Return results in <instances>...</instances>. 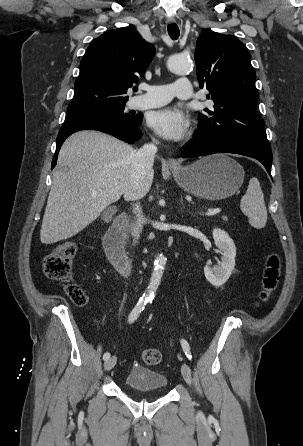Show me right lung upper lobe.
<instances>
[{"mask_svg":"<svg viewBox=\"0 0 303 446\" xmlns=\"http://www.w3.org/2000/svg\"><path fill=\"white\" fill-rule=\"evenodd\" d=\"M155 48L130 27L109 30L87 48L67 110L127 102V90L152 61Z\"/></svg>","mask_w":303,"mask_h":446,"instance_id":"obj_1","label":"right lung upper lobe"}]
</instances>
